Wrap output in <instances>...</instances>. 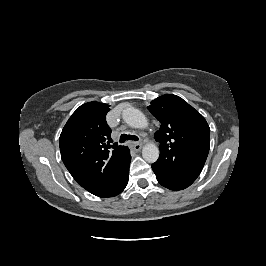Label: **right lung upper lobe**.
I'll use <instances>...</instances> for the list:
<instances>
[{
	"instance_id": "1",
	"label": "right lung upper lobe",
	"mask_w": 266,
	"mask_h": 266,
	"mask_svg": "<svg viewBox=\"0 0 266 266\" xmlns=\"http://www.w3.org/2000/svg\"><path fill=\"white\" fill-rule=\"evenodd\" d=\"M109 105L89 102L80 106L64 126L59 146L72 177L84 189L108 197L130 163V150L113 143L106 122Z\"/></svg>"
}]
</instances>
